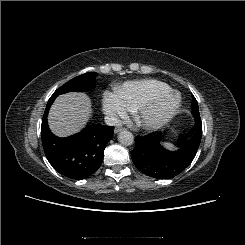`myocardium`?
Returning <instances> with one entry per match:
<instances>
[{
  "label": "myocardium",
  "instance_id": "f54148a6",
  "mask_svg": "<svg viewBox=\"0 0 245 245\" xmlns=\"http://www.w3.org/2000/svg\"><path fill=\"white\" fill-rule=\"evenodd\" d=\"M173 99L170 105L164 107ZM181 101L180 93L174 90L157 95L134 109L135 122L143 129H157L173 118L180 108Z\"/></svg>",
  "mask_w": 245,
  "mask_h": 245
}]
</instances>
